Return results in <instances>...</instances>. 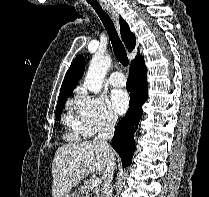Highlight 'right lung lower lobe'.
Returning <instances> with one entry per match:
<instances>
[{"label":"right lung lower lobe","mask_w":209,"mask_h":197,"mask_svg":"<svg viewBox=\"0 0 209 197\" xmlns=\"http://www.w3.org/2000/svg\"><path fill=\"white\" fill-rule=\"evenodd\" d=\"M146 74L147 68L143 57L131 64L126 84L130 92L129 110L118 122L112 139V146L121 157L124 167L131 164L135 151L134 133L142 115V105L148 97Z\"/></svg>","instance_id":"obj_1"}]
</instances>
